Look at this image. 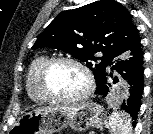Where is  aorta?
<instances>
[{
    "mask_svg": "<svg viewBox=\"0 0 153 134\" xmlns=\"http://www.w3.org/2000/svg\"><path fill=\"white\" fill-rule=\"evenodd\" d=\"M119 99V95L116 97V100H118Z\"/></svg>",
    "mask_w": 153,
    "mask_h": 134,
    "instance_id": "1",
    "label": "aorta"
}]
</instances>
